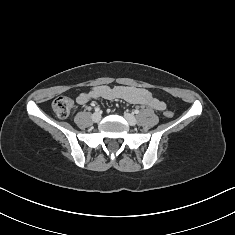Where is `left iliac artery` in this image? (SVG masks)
<instances>
[{
    "instance_id": "left-iliac-artery-1",
    "label": "left iliac artery",
    "mask_w": 235,
    "mask_h": 235,
    "mask_svg": "<svg viewBox=\"0 0 235 235\" xmlns=\"http://www.w3.org/2000/svg\"><path fill=\"white\" fill-rule=\"evenodd\" d=\"M139 110L138 109H136V110H134V112L133 113H135V114H139Z\"/></svg>"
}]
</instances>
